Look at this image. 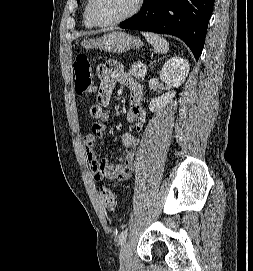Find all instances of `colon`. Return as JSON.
Segmentation results:
<instances>
[{"instance_id": "5ec220e1", "label": "colon", "mask_w": 253, "mask_h": 271, "mask_svg": "<svg viewBox=\"0 0 253 271\" xmlns=\"http://www.w3.org/2000/svg\"><path fill=\"white\" fill-rule=\"evenodd\" d=\"M74 71V88L78 95H89L93 94L95 87L92 82V75L90 70V61L85 53H80L76 56L73 61ZM99 197L101 203L109 211L115 209V196L113 191L107 186H101L99 188Z\"/></svg>"}]
</instances>
